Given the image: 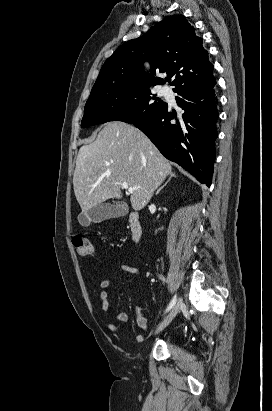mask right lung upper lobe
<instances>
[{"mask_svg":"<svg viewBox=\"0 0 272 411\" xmlns=\"http://www.w3.org/2000/svg\"><path fill=\"white\" fill-rule=\"evenodd\" d=\"M145 61L150 63L152 74L159 71L170 77L175 75L174 91L197 86L213 76V65L202 47V39L195 35V29L184 16L175 15L163 19L143 36L121 45L105 61L92 91L119 85L164 84L168 78H156L144 72Z\"/></svg>","mask_w":272,"mask_h":411,"instance_id":"obj_1","label":"right lung upper lobe"}]
</instances>
